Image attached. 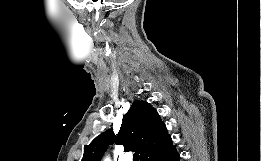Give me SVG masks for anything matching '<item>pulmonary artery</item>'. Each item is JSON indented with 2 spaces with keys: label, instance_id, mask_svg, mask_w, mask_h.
Returning <instances> with one entry per match:
<instances>
[{
  "label": "pulmonary artery",
  "instance_id": "1",
  "mask_svg": "<svg viewBox=\"0 0 261 161\" xmlns=\"http://www.w3.org/2000/svg\"><path fill=\"white\" fill-rule=\"evenodd\" d=\"M132 157L128 156V159H131Z\"/></svg>",
  "mask_w": 261,
  "mask_h": 161
}]
</instances>
